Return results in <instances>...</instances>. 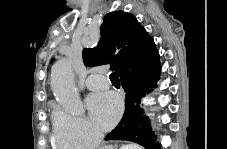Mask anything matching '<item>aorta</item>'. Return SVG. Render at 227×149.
<instances>
[{
  "label": "aorta",
  "instance_id": "obj_1",
  "mask_svg": "<svg viewBox=\"0 0 227 149\" xmlns=\"http://www.w3.org/2000/svg\"><path fill=\"white\" fill-rule=\"evenodd\" d=\"M51 87L56 100L73 115L83 112V105L74 83V74L68 60L57 62L51 71Z\"/></svg>",
  "mask_w": 227,
  "mask_h": 149
}]
</instances>
